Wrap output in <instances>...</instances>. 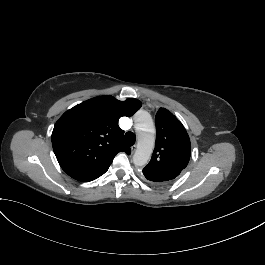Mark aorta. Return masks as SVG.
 <instances>
[{
    "mask_svg": "<svg viewBox=\"0 0 265 265\" xmlns=\"http://www.w3.org/2000/svg\"><path fill=\"white\" fill-rule=\"evenodd\" d=\"M136 128L139 132V139L133 162L136 166H144L148 163L155 144L154 123L148 112L140 110L137 113Z\"/></svg>",
    "mask_w": 265,
    "mask_h": 265,
    "instance_id": "aorta-1",
    "label": "aorta"
}]
</instances>
